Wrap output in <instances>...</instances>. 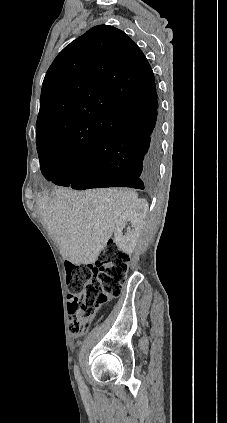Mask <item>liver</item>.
<instances>
[{"label":"liver","mask_w":227,"mask_h":423,"mask_svg":"<svg viewBox=\"0 0 227 423\" xmlns=\"http://www.w3.org/2000/svg\"><path fill=\"white\" fill-rule=\"evenodd\" d=\"M127 188L75 192L55 188L37 202L45 225L58 241L62 257L71 263H95L107 245L123 211L137 200Z\"/></svg>","instance_id":"obj_1"}]
</instances>
